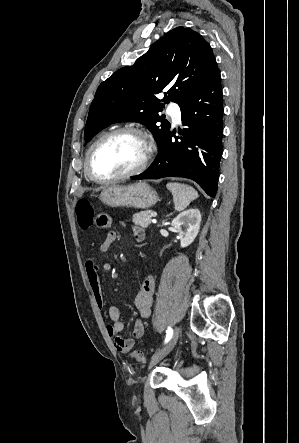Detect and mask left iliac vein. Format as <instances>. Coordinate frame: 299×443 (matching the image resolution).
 Here are the masks:
<instances>
[{
    "label": "left iliac vein",
    "mask_w": 299,
    "mask_h": 443,
    "mask_svg": "<svg viewBox=\"0 0 299 443\" xmlns=\"http://www.w3.org/2000/svg\"><path fill=\"white\" fill-rule=\"evenodd\" d=\"M180 330L176 327L173 331L172 337L169 342L163 347L160 351L154 354L150 360L149 368L158 363L161 359H163L176 345L179 338Z\"/></svg>",
    "instance_id": "4c4485c4"
}]
</instances>
